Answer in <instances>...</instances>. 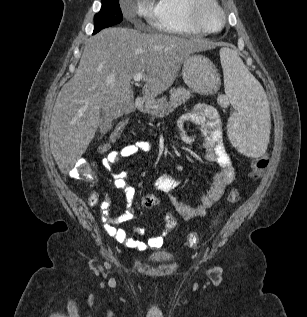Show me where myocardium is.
I'll return each mask as SVG.
<instances>
[{"mask_svg":"<svg viewBox=\"0 0 307 317\" xmlns=\"http://www.w3.org/2000/svg\"><path fill=\"white\" fill-rule=\"evenodd\" d=\"M207 7H212L219 15L220 23L216 29L207 28L203 22L202 14ZM189 13L193 25L205 34H213L221 31L226 21L225 13L216 0H193L189 7Z\"/></svg>","mask_w":307,"mask_h":317,"instance_id":"f54148a6","label":"myocardium"}]
</instances>
